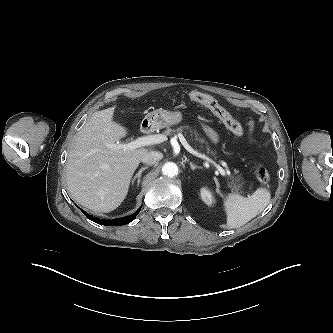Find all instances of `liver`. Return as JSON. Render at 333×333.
Instances as JSON below:
<instances>
[{
    "label": "liver",
    "instance_id": "obj_1",
    "mask_svg": "<svg viewBox=\"0 0 333 333\" xmlns=\"http://www.w3.org/2000/svg\"><path fill=\"white\" fill-rule=\"evenodd\" d=\"M115 107L96 111L78 132L66 164V182L82 206L108 213L125 199L131 178L147 148L117 149L127 129L113 121Z\"/></svg>",
    "mask_w": 333,
    "mask_h": 333
}]
</instances>
